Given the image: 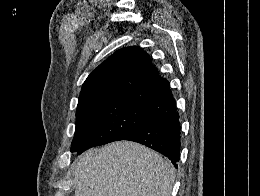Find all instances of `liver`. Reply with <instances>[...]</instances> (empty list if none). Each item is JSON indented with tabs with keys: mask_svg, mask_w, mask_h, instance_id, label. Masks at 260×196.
Segmentation results:
<instances>
[{
	"mask_svg": "<svg viewBox=\"0 0 260 196\" xmlns=\"http://www.w3.org/2000/svg\"><path fill=\"white\" fill-rule=\"evenodd\" d=\"M74 196H171L175 168L136 142H112L78 156Z\"/></svg>",
	"mask_w": 260,
	"mask_h": 196,
	"instance_id": "liver-1",
	"label": "liver"
}]
</instances>
